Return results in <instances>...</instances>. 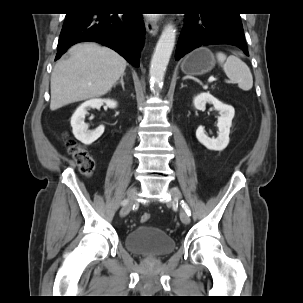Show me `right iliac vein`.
I'll list each match as a JSON object with an SVG mask.
<instances>
[{"instance_id":"1","label":"right iliac vein","mask_w":303,"mask_h":303,"mask_svg":"<svg viewBox=\"0 0 303 303\" xmlns=\"http://www.w3.org/2000/svg\"><path fill=\"white\" fill-rule=\"evenodd\" d=\"M136 198V188L132 187L129 189L128 193H127V202L126 204H124V206L122 207L121 211H120V216L121 217H125L126 215L129 214L132 205L135 201Z\"/></svg>"}]
</instances>
